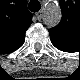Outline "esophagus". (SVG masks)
<instances>
[{"instance_id": "esophagus-1", "label": "esophagus", "mask_w": 80, "mask_h": 80, "mask_svg": "<svg viewBox=\"0 0 80 80\" xmlns=\"http://www.w3.org/2000/svg\"><path fill=\"white\" fill-rule=\"evenodd\" d=\"M43 11H40V12H38V13H36V16H37V19L38 20H41V18H42V16H43Z\"/></svg>"}]
</instances>
